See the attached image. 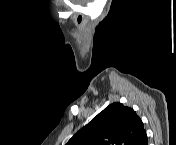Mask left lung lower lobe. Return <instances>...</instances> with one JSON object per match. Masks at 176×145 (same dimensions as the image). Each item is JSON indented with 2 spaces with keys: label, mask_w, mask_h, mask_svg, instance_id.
<instances>
[{
  "label": "left lung lower lobe",
  "mask_w": 176,
  "mask_h": 145,
  "mask_svg": "<svg viewBox=\"0 0 176 145\" xmlns=\"http://www.w3.org/2000/svg\"><path fill=\"white\" fill-rule=\"evenodd\" d=\"M140 145H148V142H147V135H145V137L143 138L142 142Z\"/></svg>",
  "instance_id": "1"
}]
</instances>
